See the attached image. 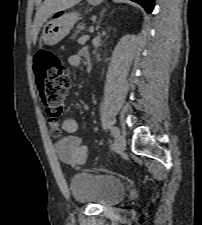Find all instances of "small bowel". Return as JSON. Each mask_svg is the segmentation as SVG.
Instances as JSON below:
<instances>
[{"instance_id":"1","label":"small bowel","mask_w":202,"mask_h":225,"mask_svg":"<svg viewBox=\"0 0 202 225\" xmlns=\"http://www.w3.org/2000/svg\"><path fill=\"white\" fill-rule=\"evenodd\" d=\"M87 48L81 49L77 54L67 58L69 67H78L81 65ZM61 128L65 135L58 141L56 154L59 160L74 168H81L86 162L87 146L83 143L82 137L77 135L79 131L78 121L74 118H65L62 120Z\"/></svg>"}]
</instances>
